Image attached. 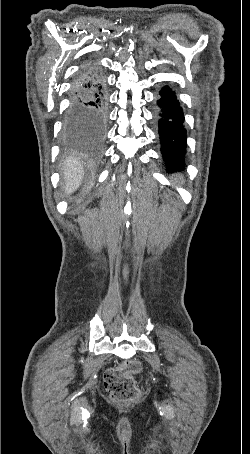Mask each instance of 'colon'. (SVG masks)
Wrapping results in <instances>:
<instances>
[{
	"instance_id": "1",
	"label": "colon",
	"mask_w": 250,
	"mask_h": 454,
	"mask_svg": "<svg viewBox=\"0 0 250 454\" xmlns=\"http://www.w3.org/2000/svg\"><path fill=\"white\" fill-rule=\"evenodd\" d=\"M139 371L140 363L128 360L105 373V387L114 403H127L140 398L141 392L134 379Z\"/></svg>"
}]
</instances>
